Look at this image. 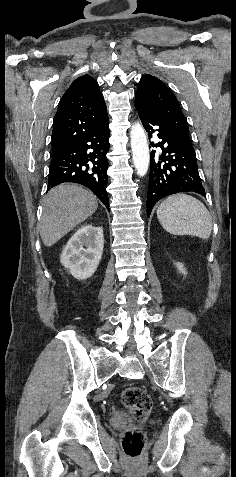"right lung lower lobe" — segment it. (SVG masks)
<instances>
[{
  "instance_id": "1",
  "label": "right lung lower lobe",
  "mask_w": 236,
  "mask_h": 477,
  "mask_svg": "<svg viewBox=\"0 0 236 477\" xmlns=\"http://www.w3.org/2000/svg\"><path fill=\"white\" fill-rule=\"evenodd\" d=\"M108 123L94 129L67 150L52 157L48 190L65 182L78 183L93 191L109 210L106 191V154L110 148Z\"/></svg>"
}]
</instances>
